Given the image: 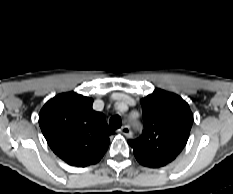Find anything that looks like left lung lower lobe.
Wrapping results in <instances>:
<instances>
[{"label": "left lung lower lobe", "instance_id": "0a47b994", "mask_svg": "<svg viewBox=\"0 0 233 194\" xmlns=\"http://www.w3.org/2000/svg\"><path fill=\"white\" fill-rule=\"evenodd\" d=\"M140 164L144 165V166H147V167H161V166H164V165H160V164H157V163H152V162H148V161H144V160H140L138 161Z\"/></svg>", "mask_w": 233, "mask_h": 194}]
</instances>
